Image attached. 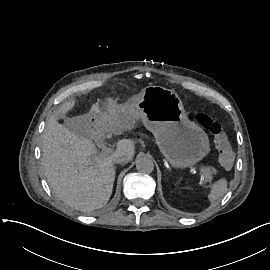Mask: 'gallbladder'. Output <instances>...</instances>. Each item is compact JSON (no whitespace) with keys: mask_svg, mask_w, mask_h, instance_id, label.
Masks as SVG:
<instances>
[{"mask_svg":"<svg viewBox=\"0 0 270 270\" xmlns=\"http://www.w3.org/2000/svg\"><path fill=\"white\" fill-rule=\"evenodd\" d=\"M64 125L70 129L72 132L79 136L81 135L82 129L87 126V122L83 117H64Z\"/></svg>","mask_w":270,"mask_h":270,"instance_id":"1","label":"gallbladder"}]
</instances>
